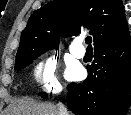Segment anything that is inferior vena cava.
I'll list each match as a JSON object with an SVG mask.
<instances>
[{
	"instance_id": "602c4592",
	"label": "inferior vena cava",
	"mask_w": 131,
	"mask_h": 115,
	"mask_svg": "<svg viewBox=\"0 0 131 115\" xmlns=\"http://www.w3.org/2000/svg\"><path fill=\"white\" fill-rule=\"evenodd\" d=\"M58 106H59L60 115H68L67 110H66V108L64 107L63 104L59 103Z\"/></svg>"
}]
</instances>
